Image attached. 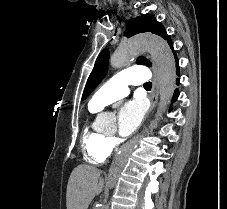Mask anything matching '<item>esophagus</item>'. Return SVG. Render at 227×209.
Returning <instances> with one entry per match:
<instances>
[{
    "label": "esophagus",
    "instance_id": "1",
    "mask_svg": "<svg viewBox=\"0 0 227 209\" xmlns=\"http://www.w3.org/2000/svg\"><path fill=\"white\" fill-rule=\"evenodd\" d=\"M149 58V57H148ZM152 73H153V85H152V90H151V97H150V109L154 110L155 109V104L158 101V95H159V74L156 65L153 63L151 67Z\"/></svg>",
    "mask_w": 227,
    "mask_h": 209
}]
</instances>
